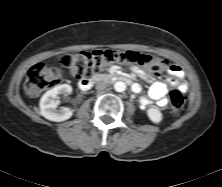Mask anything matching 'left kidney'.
Here are the masks:
<instances>
[{
	"instance_id": "obj_1",
	"label": "left kidney",
	"mask_w": 222,
	"mask_h": 187,
	"mask_svg": "<svg viewBox=\"0 0 222 187\" xmlns=\"http://www.w3.org/2000/svg\"><path fill=\"white\" fill-rule=\"evenodd\" d=\"M147 114L150 120L156 124H159L162 121V113L157 108H149Z\"/></svg>"
}]
</instances>
